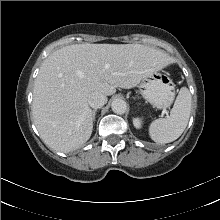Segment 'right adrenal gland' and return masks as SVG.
Returning <instances> with one entry per match:
<instances>
[{
	"mask_svg": "<svg viewBox=\"0 0 220 220\" xmlns=\"http://www.w3.org/2000/svg\"><path fill=\"white\" fill-rule=\"evenodd\" d=\"M96 111H97L96 109L92 111V118H93V121H95Z\"/></svg>",
	"mask_w": 220,
	"mask_h": 220,
	"instance_id": "obj_1",
	"label": "right adrenal gland"
}]
</instances>
